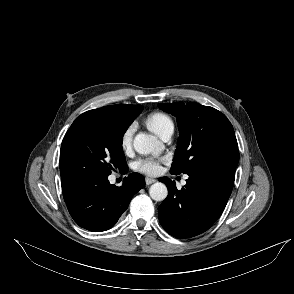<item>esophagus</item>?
<instances>
[{"instance_id": "34e87169", "label": "esophagus", "mask_w": 294, "mask_h": 294, "mask_svg": "<svg viewBox=\"0 0 294 294\" xmlns=\"http://www.w3.org/2000/svg\"><path fill=\"white\" fill-rule=\"evenodd\" d=\"M145 182H146V185H150V184L156 182V180L153 179V178H149V177H147V178L145 179Z\"/></svg>"}]
</instances>
